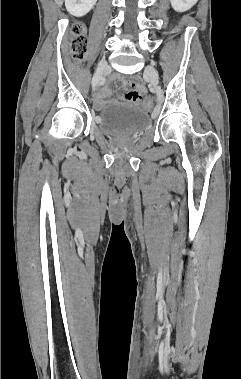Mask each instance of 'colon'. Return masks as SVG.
Listing matches in <instances>:
<instances>
[{"mask_svg":"<svg viewBox=\"0 0 241 379\" xmlns=\"http://www.w3.org/2000/svg\"><path fill=\"white\" fill-rule=\"evenodd\" d=\"M187 17V16H186ZM178 27V26H177ZM178 31V30H177ZM71 52L74 60H79L86 51L87 38L85 35V27L81 24H74L71 27ZM174 36V35H173ZM181 35L169 37L170 44H164L160 47V53L157 56V62L166 63L170 57L176 52L177 43L181 42ZM171 60V59H170ZM142 109H151V98H142Z\"/></svg>","mask_w":241,"mask_h":379,"instance_id":"1","label":"colon"}]
</instances>
